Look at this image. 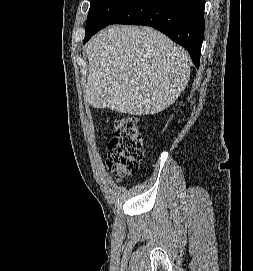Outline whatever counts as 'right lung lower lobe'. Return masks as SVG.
<instances>
[{
	"instance_id": "obj_1",
	"label": "right lung lower lobe",
	"mask_w": 253,
	"mask_h": 271,
	"mask_svg": "<svg viewBox=\"0 0 253 271\" xmlns=\"http://www.w3.org/2000/svg\"><path fill=\"white\" fill-rule=\"evenodd\" d=\"M204 5L205 0H132L110 24L158 29L183 46L198 68L205 27ZM94 34L85 36L84 43Z\"/></svg>"
}]
</instances>
